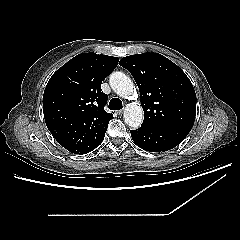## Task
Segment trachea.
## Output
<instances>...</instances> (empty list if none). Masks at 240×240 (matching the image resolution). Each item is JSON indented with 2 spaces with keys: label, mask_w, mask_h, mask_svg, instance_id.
I'll return each instance as SVG.
<instances>
[{
  "label": "trachea",
  "mask_w": 240,
  "mask_h": 240,
  "mask_svg": "<svg viewBox=\"0 0 240 240\" xmlns=\"http://www.w3.org/2000/svg\"><path fill=\"white\" fill-rule=\"evenodd\" d=\"M109 109L111 110H120L123 107L122 101L118 98H113L110 100L109 105H108Z\"/></svg>",
  "instance_id": "1"
}]
</instances>
